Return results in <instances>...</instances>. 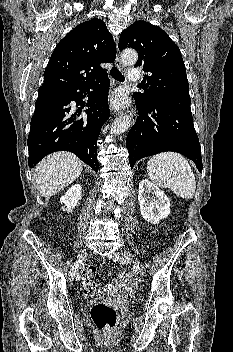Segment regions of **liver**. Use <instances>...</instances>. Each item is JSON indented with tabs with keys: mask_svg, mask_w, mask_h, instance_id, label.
I'll use <instances>...</instances> for the list:
<instances>
[{
	"mask_svg": "<svg viewBox=\"0 0 233 352\" xmlns=\"http://www.w3.org/2000/svg\"><path fill=\"white\" fill-rule=\"evenodd\" d=\"M82 170L83 163L74 154L53 153L36 165V187L44 197L55 195L77 179Z\"/></svg>",
	"mask_w": 233,
	"mask_h": 352,
	"instance_id": "liver-1",
	"label": "liver"
}]
</instances>
